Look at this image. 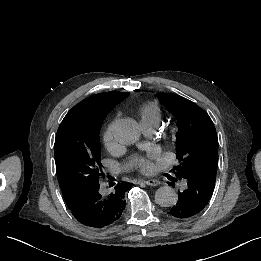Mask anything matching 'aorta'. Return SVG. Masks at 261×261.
<instances>
[{
  "label": "aorta",
  "instance_id": "762f6f07",
  "mask_svg": "<svg viewBox=\"0 0 261 261\" xmlns=\"http://www.w3.org/2000/svg\"><path fill=\"white\" fill-rule=\"evenodd\" d=\"M114 137L123 145H131L140 137L139 126L130 118L119 119L114 128ZM155 200L162 207H171L177 203L178 196L170 186H162L155 192Z\"/></svg>",
  "mask_w": 261,
  "mask_h": 261
}]
</instances>
